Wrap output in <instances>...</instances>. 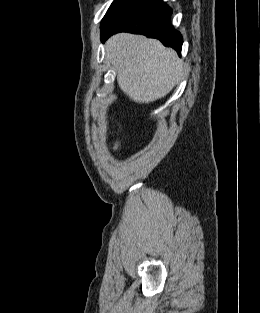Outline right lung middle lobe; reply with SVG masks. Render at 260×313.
<instances>
[{
  "mask_svg": "<svg viewBox=\"0 0 260 313\" xmlns=\"http://www.w3.org/2000/svg\"><path fill=\"white\" fill-rule=\"evenodd\" d=\"M120 0H114V2L112 3V5L110 6V8L108 9V11L116 4L118 3Z\"/></svg>",
  "mask_w": 260,
  "mask_h": 313,
  "instance_id": "1",
  "label": "right lung middle lobe"
}]
</instances>
